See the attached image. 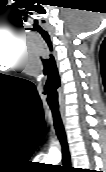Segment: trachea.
Returning <instances> with one entry per match:
<instances>
[{
  "label": "trachea",
  "instance_id": "trachea-1",
  "mask_svg": "<svg viewBox=\"0 0 106 172\" xmlns=\"http://www.w3.org/2000/svg\"><path fill=\"white\" fill-rule=\"evenodd\" d=\"M50 109L53 115V121H54L56 134L62 146L63 163L66 166H70V163H71L70 153H69L67 137H66L65 129H64L63 122L61 119L60 111L58 108H54V107H50Z\"/></svg>",
  "mask_w": 106,
  "mask_h": 172
}]
</instances>
